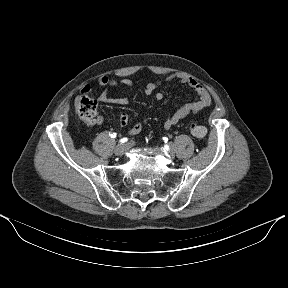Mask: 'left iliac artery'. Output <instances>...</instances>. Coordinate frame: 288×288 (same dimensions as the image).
<instances>
[{"label":"left iliac artery","instance_id":"44dca946","mask_svg":"<svg viewBox=\"0 0 288 288\" xmlns=\"http://www.w3.org/2000/svg\"><path fill=\"white\" fill-rule=\"evenodd\" d=\"M162 142L163 143H168L169 142V137L168 136H163L162 137Z\"/></svg>","mask_w":288,"mask_h":288}]
</instances>
